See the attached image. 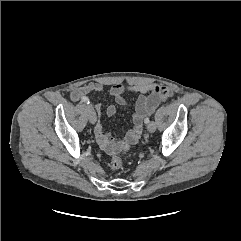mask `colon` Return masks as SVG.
<instances>
[{"instance_id":"1","label":"colon","mask_w":241,"mask_h":241,"mask_svg":"<svg viewBox=\"0 0 241 241\" xmlns=\"http://www.w3.org/2000/svg\"><path fill=\"white\" fill-rule=\"evenodd\" d=\"M123 165V158L120 155H114L111 159L110 166L113 170H119Z\"/></svg>"}]
</instances>
